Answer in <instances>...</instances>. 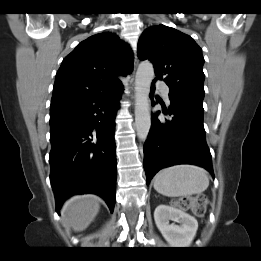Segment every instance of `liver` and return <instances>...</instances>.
Returning <instances> with one entry per match:
<instances>
[{
	"instance_id": "6515ba94",
	"label": "liver",
	"mask_w": 261,
	"mask_h": 261,
	"mask_svg": "<svg viewBox=\"0 0 261 261\" xmlns=\"http://www.w3.org/2000/svg\"><path fill=\"white\" fill-rule=\"evenodd\" d=\"M100 199L95 195L74 196L63 206V220L75 232L85 230L97 216Z\"/></svg>"
}]
</instances>
